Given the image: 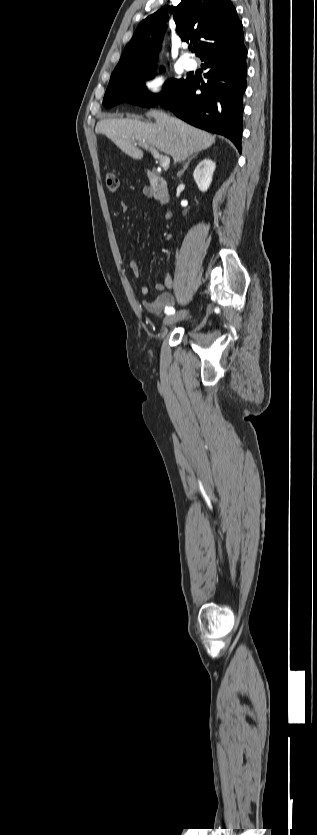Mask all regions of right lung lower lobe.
Returning <instances> with one entry per match:
<instances>
[{
  "label": "right lung lower lobe",
  "instance_id": "right-lung-lower-lobe-1",
  "mask_svg": "<svg viewBox=\"0 0 317 835\" xmlns=\"http://www.w3.org/2000/svg\"><path fill=\"white\" fill-rule=\"evenodd\" d=\"M246 58L244 37L212 47L200 56L209 69L207 83L191 78L158 104L193 126L228 137L241 152Z\"/></svg>",
  "mask_w": 317,
  "mask_h": 835
}]
</instances>
